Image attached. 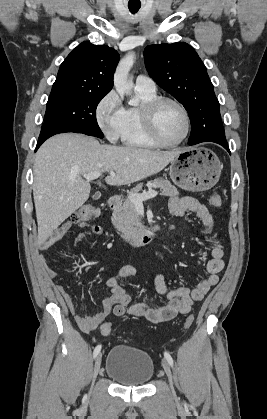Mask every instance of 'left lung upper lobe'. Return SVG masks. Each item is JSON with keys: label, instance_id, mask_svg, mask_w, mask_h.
<instances>
[{"label": "left lung upper lobe", "instance_id": "5c2ea615", "mask_svg": "<svg viewBox=\"0 0 267 419\" xmlns=\"http://www.w3.org/2000/svg\"><path fill=\"white\" fill-rule=\"evenodd\" d=\"M144 59L150 77L189 113L191 133H200L205 126L217 139H225L213 85L205 65L189 44L149 45Z\"/></svg>", "mask_w": 267, "mask_h": 419}]
</instances>
